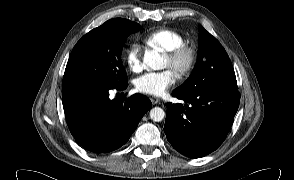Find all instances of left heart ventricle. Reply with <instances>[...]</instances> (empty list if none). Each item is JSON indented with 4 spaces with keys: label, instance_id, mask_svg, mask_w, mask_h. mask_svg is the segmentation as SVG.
<instances>
[{
    "label": "left heart ventricle",
    "instance_id": "b2bd125f",
    "mask_svg": "<svg viewBox=\"0 0 294 180\" xmlns=\"http://www.w3.org/2000/svg\"><path fill=\"white\" fill-rule=\"evenodd\" d=\"M165 66H170V61H169V59L167 57L165 59Z\"/></svg>",
    "mask_w": 294,
    "mask_h": 180
}]
</instances>
